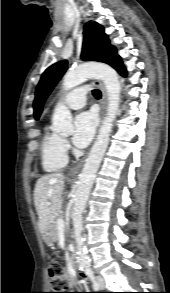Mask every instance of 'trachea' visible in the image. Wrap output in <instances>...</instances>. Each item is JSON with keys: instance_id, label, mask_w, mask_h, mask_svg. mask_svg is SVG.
<instances>
[{"instance_id": "3493384b", "label": "trachea", "mask_w": 170, "mask_h": 293, "mask_svg": "<svg viewBox=\"0 0 170 293\" xmlns=\"http://www.w3.org/2000/svg\"><path fill=\"white\" fill-rule=\"evenodd\" d=\"M92 94H93V96L96 97V98H100V97H101V92H100V90H98V89L93 90V91H92Z\"/></svg>"}]
</instances>
